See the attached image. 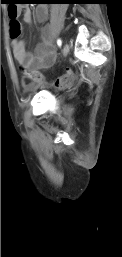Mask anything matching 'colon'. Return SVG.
I'll list each match as a JSON object with an SVG mask.
<instances>
[{
    "instance_id": "1",
    "label": "colon",
    "mask_w": 122,
    "mask_h": 257,
    "mask_svg": "<svg viewBox=\"0 0 122 257\" xmlns=\"http://www.w3.org/2000/svg\"><path fill=\"white\" fill-rule=\"evenodd\" d=\"M6 10H9L8 15L10 17V35L12 38H18L20 36L21 30H22L21 23L17 19L18 5H6ZM79 78H82V75L67 73V74L59 77L54 82L53 85L56 88H61L71 79H79ZM24 81H25V84H29V81L34 82V83H41L43 81V76L38 71L31 70V69H25L24 70Z\"/></svg>"
}]
</instances>
